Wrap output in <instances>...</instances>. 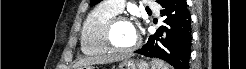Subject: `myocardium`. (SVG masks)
Masks as SVG:
<instances>
[{"label":"myocardium","mask_w":246,"mask_h":69,"mask_svg":"<svg viewBox=\"0 0 246 69\" xmlns=\"http://www.w3.org/2000/svg\"><path fill=\"white\" fill-rule=\"evenodd\" d=\"M122 21H129V20L124 15L117 14L109 20V22L106 26V29H105L104 38H105L106 45L109 47L110 50L115 51V52L132 51V50H135L136 48H138L140 45V39L139 38L136 40V42L133 45H131L129 47H118L113 43V41H112L113 30H114L115 26L119 22H122Z\"/></svg>","instance_id":"obj_1"}]
</instances>
